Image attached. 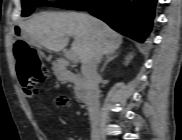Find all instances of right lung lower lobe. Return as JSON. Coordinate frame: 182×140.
<instances>
[{
    "mask_svg": "<svg viewBox=\"0 0 182 140\" xmlns=\"http://www.w3.org/2000/svg\"><path fill=\"white\" fill-rule=\"evenodd\" d=\"M157 0H100L83 10L114 30L143 42L152 29Z\"/></svg>",
    "mask_w": 182,
    "mask_h": 140,
    "instance_id": "right-lung-lower-lobe-1",
    "label": "right lung lower lobe"
}]
</instances>
